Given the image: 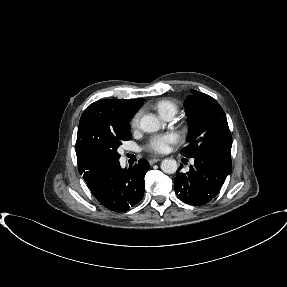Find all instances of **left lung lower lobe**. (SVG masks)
Returning a JSON list of instances; mask_svg holds the SVG:
<instances>
[{
    "instance_id": "1",
    "label": "left lung lower lobe",
    "mask_w": 287,
    "mask_h": 287,
    "mask_svg": "<svg viewBox=\"0 0 287 287\" xmlns=\"http://www.w3.org/2000/svg\"><path fill=\"white\" fill-rule=\"evenodd\" d=\"M192 158L194 165L190 166L189 172L177 170L174 188L183 202L203 205L219 193L226 177L231 173V153L211 150Z\"/></svg>"
}]
</instances>
